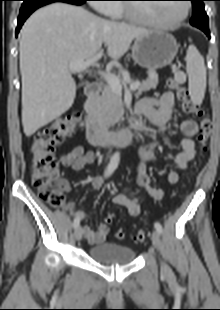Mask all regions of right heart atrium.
Here are the masks:
<instances>
[{"instance_id":"right-heart-atrium-1","label":"right heart atrium","mask_w":220,"mask_h":310,"mask_svg":"<svg viewBox=\"0 0 220 310\" xmlns=\"http://www.w3.org/2000/svg\"><path fill=\"white\" fill-rule=\"evenodd\" d=\"M110 0H96L94 4V9L104 15H110L112 9L115 8Z\"/></svg>"}]
</instances>
